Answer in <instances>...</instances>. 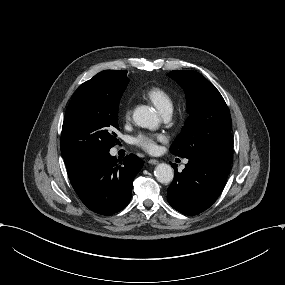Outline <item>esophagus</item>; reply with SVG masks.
I'll use <instances>...</instances> for the list:
<instances>
[{
  "mask_svg": "<svg viewBox=\"0 0 285 285\" xmlns=\"http://www.w3.org/2000/svg\"><path fill=\"white\" fill-rule=\"evenodd\" d=\"M148 163H149V164H152V165H156V164H158V160H156V159H150V160L148 161Z\"/></svg>",
  "mask_w": 285,
  "mask_h": 285,
  "instance_id": "esophagus-1",
  "label": "esophagus"
}]
</instances>
